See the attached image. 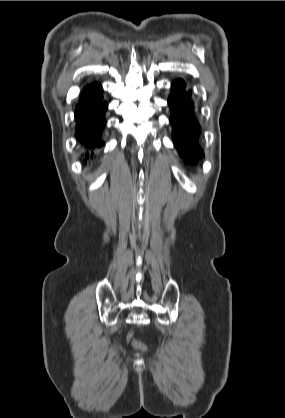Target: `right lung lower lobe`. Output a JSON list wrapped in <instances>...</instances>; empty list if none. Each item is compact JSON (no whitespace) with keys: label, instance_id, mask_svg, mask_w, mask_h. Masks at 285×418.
<instances>
[{"label":"right lung lower lobe","instance_id":"1","mask_svg":"<svg viewBox=\"0 0 285 418\" xmlns=\"http://www.w3.org/2000/svg\"><path fill=\"white\" fill-rule=\"evenodd\" d=\"M102 87L93 82L87 84L79 95L75 107L76 137L84 148V160L93 159L95 150L104 145L102 131L106 126L104 113L108 104L103 100Z\"/></svg>","mask_w":285,"mask_h":418}]
</instances>
